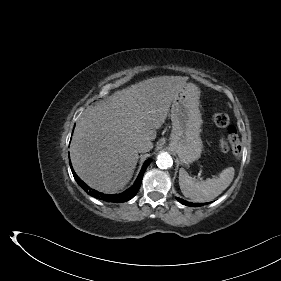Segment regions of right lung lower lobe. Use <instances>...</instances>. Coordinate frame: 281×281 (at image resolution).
Segmentation results:
<instances>
[{
  "mask_svg": "<svg viewBox=\"0 0 281 281\" xmlns=\"http://www.w3.org/2000/svg\"><path fill=\"white\" fill-rule=\"evenodd\" d=\"M150 163V160L146 161L145 164L143 165V168L141 169L140 171V174L138 176V178L136 179L135 183L133 184V186H131L129 189H127L126 191L120 193V194H113V195H110V194H104V193H101V192H98L94 189H91L89 186H87L77 175L76 173L74 172L72 166H71V169H72V173L74 175V178L76 180V182L81 186L82 189H84L90 196L94 197V198H97V199H101V200H104V201H107V202H113V203H121V202H126L128 200H130L131 198H133L140 186H141V182H142V177H143V174L147 168V166L149 165ZM71 165V163H70Z\"/></svg>",
  "mask_w": 281,
  "mask_h": 281,
  "instance_id": "right-lung-lower-lobe-1",
  "label": "right lung lower lobe"
}]
</instances>
